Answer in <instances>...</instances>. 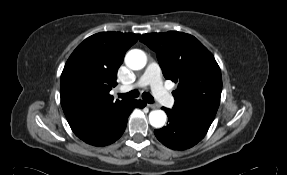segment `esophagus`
<instances>
[{"instance_id":"34e87169","label":"esophagus","mask_w":287,"mask_h":175,"mask_svg":"<svg viewBox=\"0 0 287 175\" xmlns=\"http://www.w3.org/2000/svg\"><path fill=\"white\" fill-rule=\"evenodd\" d=\"M147 106H148L149 108H152V109H157V108H159V105H158V104H147Z\"/></svg>"}]
</instances>
